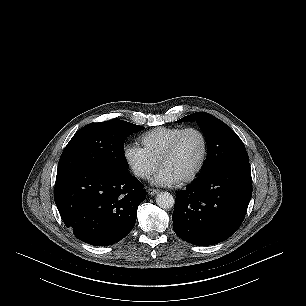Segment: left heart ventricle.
Returning <instances> with one entry per match:
<instances>
[{"label":"left heart ventricle","instance_id":"1","mask_svg":"<svg viewBox=\"0 0 306 306\" xmlns=\"http://www.w3.org/2000/svg\"><path fill=\"white\" fill-rule=\"evenodd\" d=\"M203 153V142L196 132H188L181 140L175 154L167 160L163 168L179 180L190 175L198 166Z\"/></svg>","mask_w":306,"mask_h":306}]
</instances>
